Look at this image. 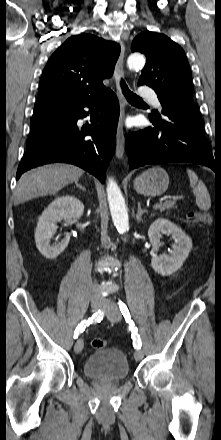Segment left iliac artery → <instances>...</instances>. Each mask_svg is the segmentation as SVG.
I'll use <instances>...</instances> for the list:
<instances>
[{
  "instance_id": "44dca946",
  "label": "left iliac artery",
  "mask_w": 221,
  "mask_h": 440,
  "mask_svg": "<svg viewBox=\"0 0 221 440\" xmlns=\"http://www.w3.org/2000/svg\"><path fill=\"white\" fill-rule=\"evenodd\" d=\"M118 305H119L120 311L123 314L125 320L130 324V330L132 332L131 337L133 339V345H134L135 348L140 349L141 346H142L141 339H140V336L137 333V328L134 327V322L131 320V316H130L129 310H128L127 306L122 301H119Z\"/></svg>"
}]
</instances>
